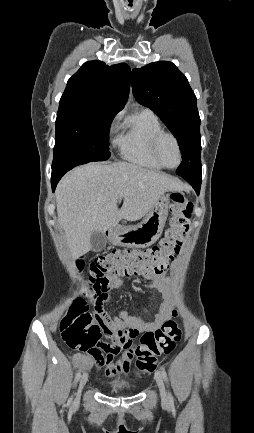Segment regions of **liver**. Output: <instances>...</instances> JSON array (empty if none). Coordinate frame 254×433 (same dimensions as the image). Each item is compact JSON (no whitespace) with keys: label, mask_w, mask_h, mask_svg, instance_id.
<instances>
[{"label":"liver","mask_w":254,"mask_h":433,"mask_svg":"<svg viewBox=\"0 0 254 433\" xmlns=\"http://www.w3.org/2000/svg\"><path fill=\"white\" fill-rule=\"evenodd\" d=\"M181 188L165 173L127 162L90 163L74 169L56 189L58 220L72 257L92 249L93 232L104 233L122 219L139 220L164 193Z\"/></svg>","instance_id":"liver-1"}]
</instances>
